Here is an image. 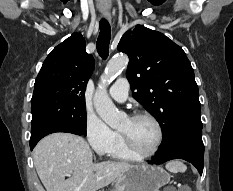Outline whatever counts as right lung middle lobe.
Returning a JSON list of instances; mask_svg holds the SVG:
<instances>
[{
  "label": "right lung middle lobe",
  "instance_id": "right-lung-middle-lobe-1",
  "mask_svg": "<svg viewBox=\"0 0 233 191\" xmlns=\"http://www.w3.org/2000/svg\"><path fill=\"white\" fill-rule=\"evenodd\" d=\"M31 104V133L45 127H65L86 135L85 103L44 97L32 100Z\"/></svg>",
  "mask_w": 233,
  "mask_h": 191
}]
</instances>
